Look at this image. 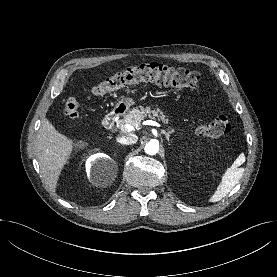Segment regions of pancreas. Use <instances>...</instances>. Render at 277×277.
<instances>
[{
    "instance_id": "1",
    "label": "pancreas",
    "mask_w": 277,
    "mask_h": 277,
    "mask_svg": "<svg viewBox=\"0 0 277 277\" xmlns=\"http://www.w3.org/2000/svg\"><path fill=\"white\" fill-rule=\"evenodd\" d=\"M146 116L152 119L157 118L158 120H161L163 123L169 122V119L161 110L159 109L151 110L150 107H146V108L140 107V109L133 108L126 115H124L123 119H120L117 124L119 127L125 124H133L138 126Z\"/></svg>"
}]
</instances>
